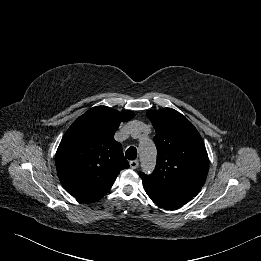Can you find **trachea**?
Listing matches in <instances>:
<instances>
[{
	"mask_svg": "<svg viewBox=\"0 0 261 261\" xmlns=\"http://www.w3.org/2000/svg\"><path fill=\"white\" fill-rule=\"evenodd\" d=\"M125 157L128 160H135L137 157V149L133 146H130L125 153Z\"/></svg>",
	"mask_w": 261,
	"mask_h": 261,
	"instance_id": "1",
	"label": "trachea"
}]
</instances>
